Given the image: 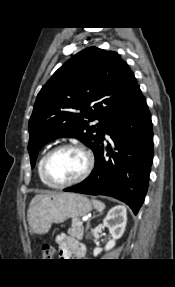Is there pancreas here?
<instances>
[{
  "mask_svg": "<svg viewBox=\"0 0 175 287\" xmlns=\"http://www.w3.org/2000/svg\"><path fill=\"white\" fill-rule=\"evenodd\" d=\"M84 227L79 223L78 219H72L71 228L68 229V234L75 237L78 240L83 239Z\"/></svg>",
  "mask_w": 175,
  "mask_h": 287,
  "instance_id": "pancreas-1",
  "label": "pancreas"
}]
</instances>
